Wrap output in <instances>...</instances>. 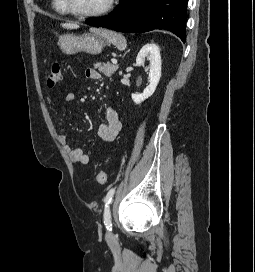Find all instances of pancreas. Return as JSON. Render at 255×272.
Returning <instances> with one entry per match:
<instances>
[{
	"mask_svg": "<svg viewBox=\"0 0 255 272\" xmlns=\"http://www.w3.org/2000/svg\"><path fill=\"white\" fill-rule=\"evenodd\" d=\"M94 68L98 69L100 73H103L105 76L110 77L112 76L119 68V65L115 64H110L109 62L107 63H100L97 62L94 64Z\"/></svg>",
	"mask_w": 255,
	"mask_h": 272,
	"instance_id": "1",
	"label": "pancreas"
}]
</instances>
